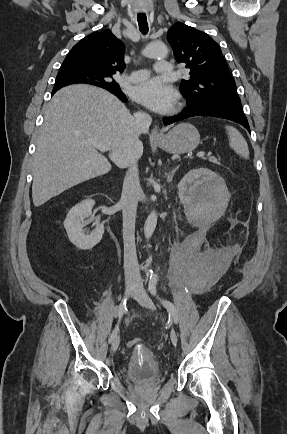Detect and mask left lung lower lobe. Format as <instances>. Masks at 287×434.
I'll return each mask as SVG.
<instances>
[{
  "label": "left lung lower lobe",
  "mask_w": 287,
  "mask_h": 434,
  "mask_svg": "<svg viewBox=\"0 0 287 434\" xmlns=\"http://www.w3.org/2000/svg\"><path fill=\"white\" fill-rule=\"evenodd\" d=\"M193 116H212L229 119L243 125L249 132L250 127L241 107V102H224L220 104L196 103L189 105L180 114L163 118L165 125L172 124Z\"/></svg>",
  "instance_id": "0a47b994"
}]
</instances>
